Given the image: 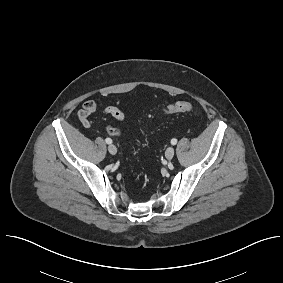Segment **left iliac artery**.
<instances>
[{
	"label": "left iliac artery",
	"mask_w": 283,
	"mask_h": 283,
	"mask_svg": "<svg viewBox=\"0 0 283 283\" xmlns=\"http://www.w3.org/2000/svg\"><path fill=\"white\" fill-rule=\"evenodd\" d=\"M176 143H177V139L173 138V139L171 140V144H172V145H176Z\"/></svg>",
	"instance_id": "left-iliac-artery-1"
}]
</instances>
